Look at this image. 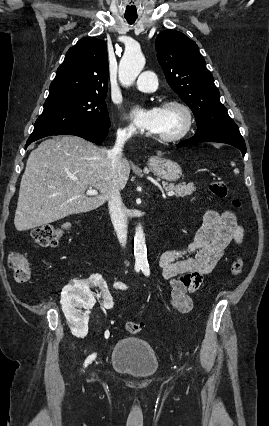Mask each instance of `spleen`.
I'll return each instance as SVG.
<instances>
[{
    "label": "spleen",
    "mask_w": 269,
    "mask_h": 426,
    "mask_svg": "<svg viewBox=\"0 0 269 426\" xmlns=\"http://www.w3.org/2000/svg\"><path fill=\"white\" fill-rule=\"evenodd\" d=\"M231 165H232V166H235V163H234V162H231ZM234 173H235V174H238V173H239V170H238V169H234Z\"/></svg>",
    "instance_id": "3e777b00"
}]
</instances>
